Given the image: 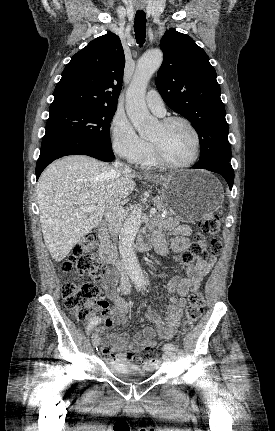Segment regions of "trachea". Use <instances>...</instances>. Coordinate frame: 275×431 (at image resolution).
Masks as SVG:
<instances>
[{"label": "trachea", "mask_w": 275, "mask_h": 431, "mask_svg": "<svg viewBox=\"0 0 275 431\" xmlns=\"http://www.w3.org/2000/svg\"><path fill=\"white\" fill-rule=\"evenodd\" d=\"M134 32L137 43L143 46L146 38V14L143 10H138L135 15Z\"/></svg>", "instance_id": "obj_1"}]
</instances>
